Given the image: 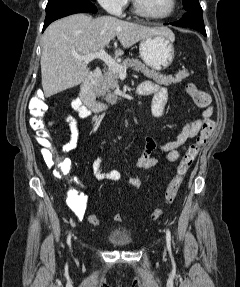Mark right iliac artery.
<instances>
[{
  "instance_id": "obj_1",
  "label": "right iliac artery",
  "mask_w": 240,
  "mask_h": 287,
  "mask_svg": "<svg viewBox=\"0 0 240 287\" xmlns=\"http://www.w3.org/2000/svg\"><path fill=\"white\" fill-rule=\"evenodd\" d=\"M67 244L70 246L71 245V233L67 237Z\"/></svg>"
}]
</instances>
